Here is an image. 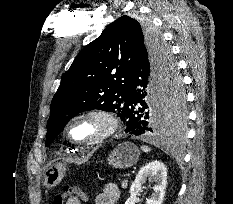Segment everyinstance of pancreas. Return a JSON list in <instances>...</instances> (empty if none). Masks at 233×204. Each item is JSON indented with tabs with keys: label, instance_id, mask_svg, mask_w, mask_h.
<instances>
[{
	"label": "pancreas",
	"instance_id": "pancreas-1",
	"mask_svg": "<svg viewBox=\"0 0 233 204\" xmlns=\"http://www.w3.org/2000/svg\"><path fill=\"white\" fill-rule=\"evenodd\" d=\"M127 185H128L127 180L122 181L121 187H122L123 189L127 188Z\"/></svg>",
	"mask_w": 233,
	"mask_h": 204
}]
</instances>
